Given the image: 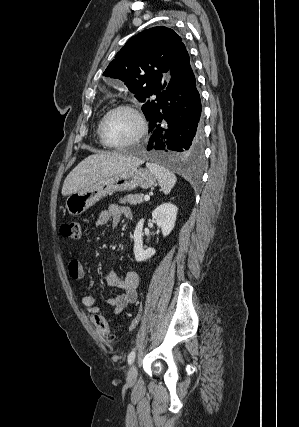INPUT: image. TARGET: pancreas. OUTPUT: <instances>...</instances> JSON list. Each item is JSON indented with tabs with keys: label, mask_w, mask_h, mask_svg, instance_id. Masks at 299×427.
<instances>
[{
	"label": "pancreas",
	"mask_w": 299,
	"mask_h": 427,
	"mask_svg": "<svg viewBox=\"0 0 299 427\" xmlns=\"http://www.w3.org/2000/svg\"><path fill=\"white\" fill-rule=\"evenodd\" d=\"M143 194H131L128 196H125L124 198H121L119 200V202L121 204H131V205H137V204H141L143 202Z\"/></svg>",
	"instance_id": "pancreas-1"
}]
</instances>
